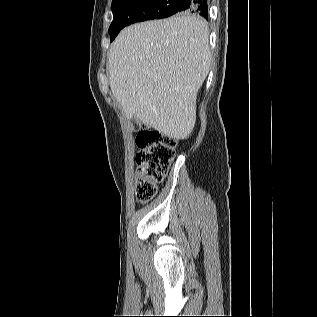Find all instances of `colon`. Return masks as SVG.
Instances as JSON below:
<instances>
[{"label":"colon","instance_id":"1","mask_svg":"<svg viewBox=\"0 0 317 317\" xmlns=\"http://www.w3.org/2000/svg\"><path fill=\"white\" fill-rule=\"evenodd\" d=\"M134 129L137 131L136 144L140 149L136 156V196L145 201L154 197L158 184L166 176L175 156L176 140L137 123L134 124Z\"/></svg>","mask_w":317,"mask_h":317}]
</instances>
